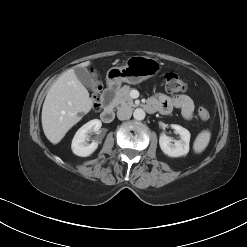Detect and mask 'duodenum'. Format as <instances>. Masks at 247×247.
<instances>
[{"label":"duodenum","mask_w":247,"mask_h":247,"mask_svg":"<svg viewBox=\"0 0 247 247\" xmlns=\"http://www.w3.org/2000/svg\"><path fill=\"white\" fill-rule=\"evenodd\" d=\"M116 90V84L109 82L102 94L101 119L105 123H110L114 119L113 97Z\"/></svg>","instance_id":"1"}]
</instances>
